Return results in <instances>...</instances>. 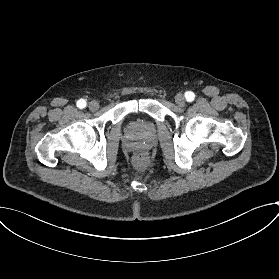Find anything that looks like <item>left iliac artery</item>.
I'll return each instance as SVG.
<instances>
[{
    "mask_svg": "<svg viewBox=\"0 0 279 279\" xmlns=\"http://www.w3.org/2000/svg\"><path fill=\"white\" fill-rule=\"evenodd\" d=\"M185 98L188 102H192L195 98V95H194L193 92L188 91V92L185 93Z\"/></svg>",
    "mask_w": 279,
    "mask_h": 279,
    "instance_id": "1",
    "label": "left iliac artery"
}]
</instances>
